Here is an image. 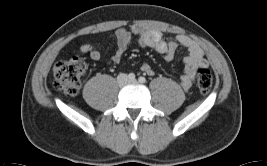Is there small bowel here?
Wrapping results in <instances>:
<instances>
[{
    "label": "small bowel",
    "mask_w": 267,
    "mask_h": 166,
    "mask_svg": "<svg viewBox=\"0 0 267 166\" xmlns=\"http://www.w3.org/2000/svg\"><path fill=\"white\" fill-rule=\"evenodd\" d=\"M133 36L137 37L140 46L154 50L166 61L173 59L178 45L187 50V54L183 59L184 72L180 78V84L186 91L190 90L193 86L196 70L207 64L202 49L188 36L179 34L174 39H165L160 31L140 25H133L130 29H119L113 34L112 38L116 43V51L112 57L113 62L118 63L121 61L132 42ZM80 51L88 55L93 61L101 59L99 45L85 43L80 46ZM141 70L148 75L154 74V70L149 64H143Z\"/></svg>",
    "instance_id": "small-bowel-1"
}]
</instances>
